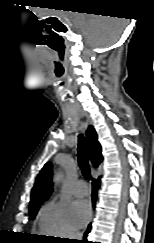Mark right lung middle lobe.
I'll use <instances>...</instances> for the list:
<instances>
[{"label":"right lung middle lobe","instance_id":"1","mask_svg":"<svg viewBox=\"0 0 154 243\" xmlns=\"http://www.w3.org/2000/svg\"><path fill=\"white\" fill-rule=\"evenodd\" d=\"M38 209H39V206L29 208V214L31 215V218H34L36 216Z\"/></svg>","mask_w":154,"mask_h":243}]
</instances>
